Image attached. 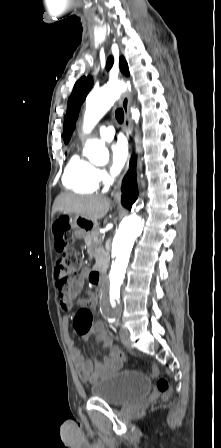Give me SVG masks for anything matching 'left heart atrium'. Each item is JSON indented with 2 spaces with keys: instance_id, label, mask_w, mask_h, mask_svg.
<instances>
[{
  "instance_id": "left-heart-atrium-1",
  "label": "left heart atrium",
  "mask_w": 221,
  "mask_h": 448,
  "mask_svg": "<svg viewBox=\"0 0 221 448\" xmlns=\"http://www.w3.org/2000/svg\"><path fill=\"white\" fill-rule=\"evenodd\" d=\"M110 171L113 175L119 174L125 166L128 151L125 143L116 142L111 145Z\"/></svg>"
}]
</instances>
